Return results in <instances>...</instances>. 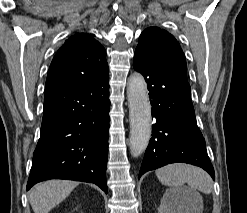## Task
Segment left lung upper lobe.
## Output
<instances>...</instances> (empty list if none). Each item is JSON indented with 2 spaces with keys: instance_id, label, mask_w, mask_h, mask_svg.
I'll list each match as a JSON object with an SVG mask.
<instances>
[{
  "instance_id": "obj_1",
  "label": "left lung upper lobe",
  "mask_w": 247,
  "mask_h": 213,
  "mask_svg": "<svg viewBox=\"0 0 247 213\" xmlns=\"http://www.w3.org/2000/svg\"><path fill=\"white\" fill-rule=\"evenodd\" d=\"M134 63L186 66L184 53L177 40L158 27L147 28L141 33Z\"/></svg>"
}]
</instances>
